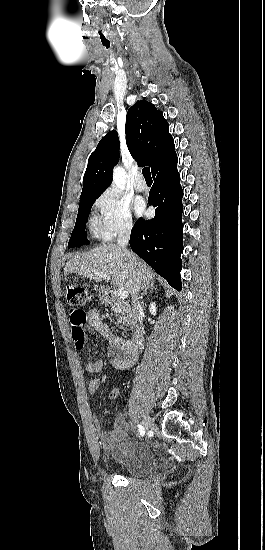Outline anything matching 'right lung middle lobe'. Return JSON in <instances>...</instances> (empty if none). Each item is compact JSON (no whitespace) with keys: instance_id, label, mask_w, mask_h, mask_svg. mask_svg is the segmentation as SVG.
Listing matches in <instances>:
<instances>
[{"instance_id":"obj_1","label":"right lung middle lobe","mask_w":265,"mask_h":550,"mask_svg":"<svg viewBox=\"0 0 265 550\" xmlns=\"http://www.w3.org/2000/svg\"><path fill=\"white\" fill-rule=\"evenodd\" d=\"M97 198L98 197L80 199L75 227L68 243L69 248L80 247L86 242L85 225L91 207Z\"/></svg>"}]
</instances>
